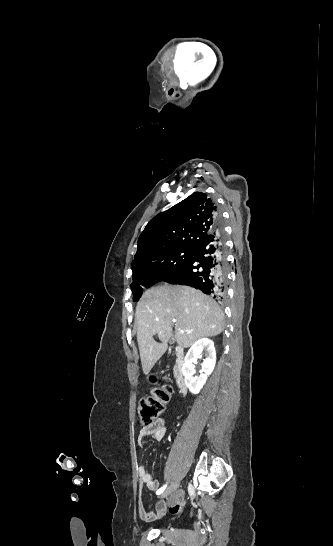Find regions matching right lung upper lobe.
<instances>
[{"mask_svg": "<svg viewBox=\"0 0 333 546\" xmlns=\"http://www.w3.org/2000/svg\"><path fill=\"white\" fill-rule=\"evenodd\" d=\"M215 202L196 192L156 215L141 233L132 261L133 273L157 255L181 247H193L215 228Z\"/></svg>", "mask_w": 333, "mask_h": 546, "instance_id": "obj_1", "label": "right lung upper lobe"}]
</instances>
